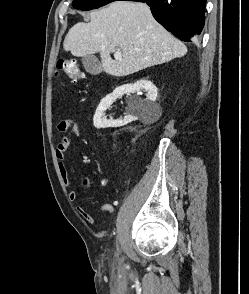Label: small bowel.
I'll list each match as a JSON object with an SVG mask.
<instances>
[{
  "label": "small bowel",
  "mask_w": 249,
  "mask_h": 294,
  "mask_svg": "<svg viewBox=\"0 0 249 294\" xmlns=\"http://www.w3.org/2000/svg\"><path fill=\"white\" fill-rule=\"evenodd\" d=\"M57 128L60 133H63V136L60 142L56 146L55 155L58 161L59 172L62 177V180L64 184L69 188L68 190L69 199L74 201L77 199V192L71 186V181H70L67 167L65 164V156H66L67 149L69 148L72 140L80 135V127L76 122L64 119L59 121ZM82 184L86 190H90L92 188V183L88 178H84ZM117 204H118L117 201H114L112 203H103L99 205V210L101 212H105L111 215L114 213L115 206ZM76 211L80 216H82L85 219L87 223L89 224L94 223L93 216L83 207L77 206Z\"/></svg>",
  "instance_id": "1"
}]
</instances>
